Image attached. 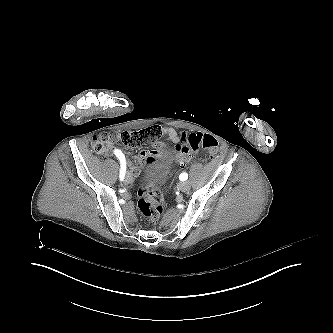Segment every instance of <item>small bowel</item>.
Returning a JSON list of instances; mask_svg holds the SVG:
<instances>
[{
  "label": "small bowel",
  "instance_id": "1",
  "mask_svg": "<svg viewBox=\"0 0 333 333\" xmlns=\"http://www.w3.org/2000/svg\"><path fill=\"white\" fill-rule=\"evenodd\" d=\"M156 128H158L160 131H161V134L165 137H167L171 142L173 143H178L184 136L185 134L184 133H178L177 131H175L173 128H170V127H167V126H154ZM110 156H115V151H110ZM175 154V152H174ZM145 156V153L142 152L140 153L139 156L136 157L137 160H141L143 157ZM176 159H177V162L179 164H184V162H187L189 159H184L183 157L181 156H178L176 155ZM139 171L137 169V167H135L134 165H130L129 166V170H128V173H127V181L128 182H132L133 179L138 175Z\"/></svg>",
  "mask_w": 333,
  "mask_h": 333
}]
</instances>
